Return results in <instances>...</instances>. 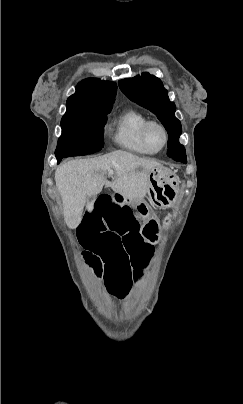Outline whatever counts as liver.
I'll return each instance as SVG.
<instances>
[{
	"instance_id": "obj_1",
	"label": "liver",
	"mask_w": 243,
	"mask_h": 404,
	"mask_svg": "<svg viewBox=\"0 0 243 404\" xmlns=\"http://www.w3.org/2000/svg\"><path fill=\"white\" fill-rule=\"evenodd\" d=\"M161 164L150 158H139L130 152H111L90 160H71L57 168L55 182L64 206V220L75 230L82 220L88 198L102 192L103 186L112 188L128 200H142L147 194L148 174ZM107 170H114L112 182L105 178Z\"/></svg>"
}]
</instances>
